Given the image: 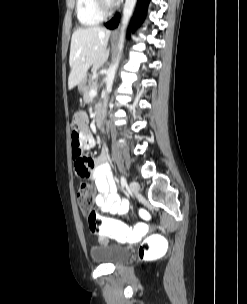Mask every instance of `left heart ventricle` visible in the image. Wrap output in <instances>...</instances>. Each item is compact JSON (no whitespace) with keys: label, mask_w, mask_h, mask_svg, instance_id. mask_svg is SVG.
<instances>
[{"label":"left heart ventricle","mask_w":247,"mask_h":304,"mask_svg":"<svg viewBox=\"0 0 247 304\" xmlns=\"http://www.w3.org/2000/svg\"><path fill=\"white\" fill-rule=\"evenodd\" d=\"M106 2H107L108 4H111V3H112L110 0H106Z\"/></svg>","instance_id":"left-heart-ventricle-1"}]
</instances>
